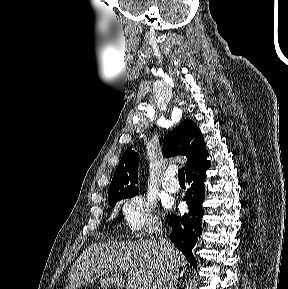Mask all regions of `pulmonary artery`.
<instances>
[{"label":"pulmonary artery","instance_id":"1","mask_svg":"<svg viewBox=\"0 0 288 289\" xmlns=\"http://www.w3.org/2000/svg\"><path fill=\"white\" fill-rule=\"evenodd\" d=\"M162 187L165 191L169 193H175L179 189L178 180L175 178L174 172L172 170H167L164 174L162 180Z\"/></svg>","mask_w":288,"mask_h":289}]
</instances>
